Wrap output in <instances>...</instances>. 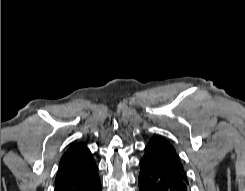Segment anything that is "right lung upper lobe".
<instances>
[{
	"label": "right lung upper lobe",
	"instance_id": "right-lung-upper-lobe-1",
	"mask_svg": "<svg viewBox=\"0 0 245 191\" xmlns=\"http://www.w3.org/2000/svg\"><path fill=\"white\" fill-rule=\"evenodd\" d=\"M95 165L86 146L81 143L73 145L61 158L55 186L89 171Z\"/></svg>",
	"mask_w": 245,
	"mask_h": 191
}]
</instances>
